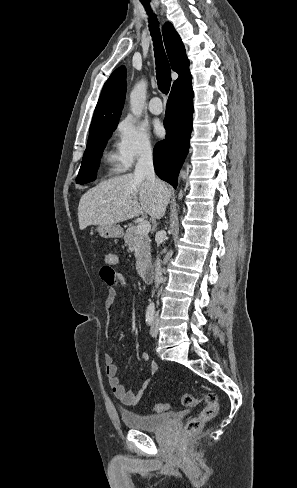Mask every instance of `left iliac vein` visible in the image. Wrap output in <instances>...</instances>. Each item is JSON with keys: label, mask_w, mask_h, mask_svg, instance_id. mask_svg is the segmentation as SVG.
<instances>
[{"label": "left iliac vein", "mask_w": 297, "mask_h": 488, "mask_svg": "<svg viewBox=\"0 0 297 488\" xmlns=\"http://www.w3.org/2000/svg\"><path fill=\"white\" fill-rule=\"evenodd\" d=\"M158 327H159V321L157 318H155L150 330V334L152 337H156L158 335Z\"/></svg>", "instance_id": "4c4485c4"}]
</instances>
